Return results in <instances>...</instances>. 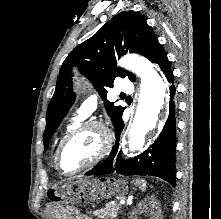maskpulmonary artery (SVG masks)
I'll list each match as a JSON object with an SVG mask.
<instances>
[{
  "instance_id": "pulmonary-artery-1",
  "label": "pulmonary artery",
  "mask_w": 221,
  "mask_h": 219,
  "mask_svg": "<svg viewBox=\"0 0 221 219\" xmlns=\"http://www.w3.org/2000/svg\"><path fill=\"white\" fill-rule=\"evenodd\" d=\"M118 92H120L122 95H129L133 92V85L127 78H120L118 83ZM98 104V98L96 95L89 96L86 100L82 102V104L79 107L78 113L79 115L83 117L89 116L91 113H93Z\"/></svg>"
}]
</instances>
